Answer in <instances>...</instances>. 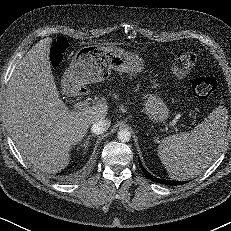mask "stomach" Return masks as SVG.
Instances as JSON below:
<instances>
[{
  "instance_id": "1",
  "label": "stomach",
  "mask_w": 231,
  "mask_h": 231,
  "mask_svg": "<svg viewBox=\"0 0 231 231\" xmlns=\"http://www.w3.org/2000/svg\"><path fill=\"white\" fill-rule=\"evenodd\" d=\"M111 70L125 73H142L143 58L135 52L120 48L87 46L77 51L69 68L63 76L67 86L97 83L105 80ZM144 111L153 123H161L168 119L169 108L156 93L144 95Z\"/></svg>"
}]
</instances>
